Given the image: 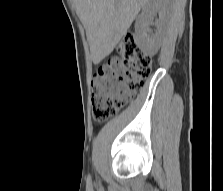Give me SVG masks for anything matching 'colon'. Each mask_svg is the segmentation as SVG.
<instances>
[{
    "instance_id": "colon-1",
    "label": "colon",
    "mask_w": 223,
    "mask_h": 191,
    "mask_svg": "<svg viewBox=\"0 0 223 191\" xmlns=\"http://www.w3.org/2000/svg\"><path fill=\"white\" fill-rule=\"evenodd\" d=\"M119 51L122 57H112L92 82V115L99 122L123 108L151 72V56L141 50L132 35L123 38Z\"/></svg>"
}]
</instances>
